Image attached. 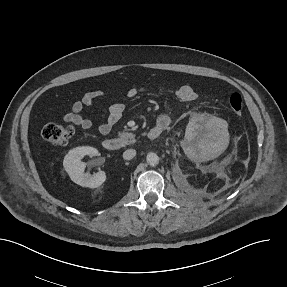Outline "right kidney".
Wrapping results in <instances>:
<instances>
[{"mask_svg": "<svg viewBox=\"0 0 287 287\" xmlns=\"http://www.w3.org/2000/svg\"><path fill=\"white\" fill-rule=\"evenodd\" d=\"M98 153L96 148L90 146L76 147L68 152L63 161V166L73 182L88 188H98L106 181V173L99 171L93 175L84 172L85 163L81 159L94 156Z\"/></svg>", "mask_w": 287, "mask_h": 287, "instance_id": "right-kidney-1", "label": "right kidney"}]
</instances>
